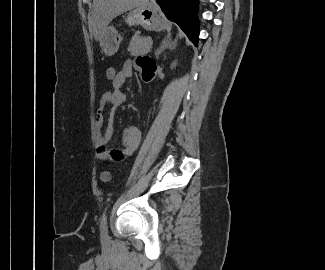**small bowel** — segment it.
I'll use <instances>...</instances> for the list:
<instances>
[{"instance_id":"obj_1","label":"small bowel","mask_w":325,"mask_h":270,"mask_svg":"<svg viewBox=\"0 0 325 270\" xmlns=\"http://www.w3.org/2000/svg\"><path fill=\"white\" fill-rule=\"evenodd\" d=\"M136 69L145 81L152 80L156 74L155 60L147 55L138 56L136 59ZM118 81L112 83L113 89L103 93L100 102L98 113L94 122L95 131V148L96 157L99 161H121L130 156L138 147L140 142V130L137 126L131 125L124 129L122 135V149L108 150L106 148L107 142L113 136V121L112 117L117 107L126 102V94L122 88L127 79L133 76V65L130 60L124 62L122 67L117 70ZM110 110V120L105 124L104 111L106 108Z\"/></svg>"}]
</instances>
